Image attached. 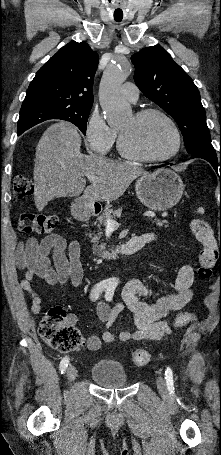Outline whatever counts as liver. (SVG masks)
I'll use <instances>...</instances> for the list:
<instances>
[{
    "instance_id": "1",
    "label": "liver",
    "mask_w": 221,
    "mask_h": 455,
    "mask_svg": "<svg viewBox=\"0 0 221 455\" xmlns=\"http://www.w3.org/2000/svg\"><path fill=\"white\" fill-rule=\"evenodd\" d=\"M81 136L71 123L59 121L41 136L35 153L34 201L42 211L49 201L77 197L89 201H111L121 197L133 180L148 174L132 163L111 161L81 153ZM96 181L86 186L85 176Z\"/></svg>"
}]
</instances>
